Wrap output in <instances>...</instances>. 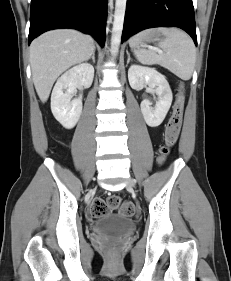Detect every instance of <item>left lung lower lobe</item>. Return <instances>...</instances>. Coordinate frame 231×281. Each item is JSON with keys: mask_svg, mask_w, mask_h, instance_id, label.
<instances>
[{"mask_svg": "<svg viewBox=\"0 0 231 281\" xmlns=\"http://www.w3.org/2000/svg\"><path fill=\"white\" fill-rule=\"evenodd\" d=\"M179 27L197 45L192 0H127L122 42L153 27Z\"/></svg>", "mask_w": 231, "mask_h": 281, "instance_id": "0a47b994", "label": "left lung lower lobe"}]
</instances>
